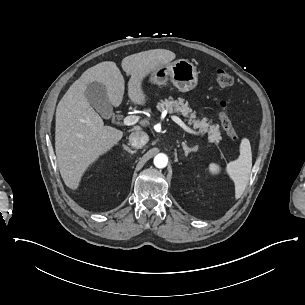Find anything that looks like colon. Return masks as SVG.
Listing matches in <instances>:
<instances>
[{
    "label": "colon",
    "instance_id": "1",
    "mask_svg": "<svg viewBox=\"0 0 305 305\" xmlns=\"http://www.w3.org/2000/svg\"><path fill=\"white\" fill-rule=\"evenodd\" d=\"M215 83L220 88H227L232 85V76L225 69H217L214 73ZM218 119L224 133L234 141H240L241 137L235 129L227 108L224 103L220 104Z\"/></svg>",
    "mask_w": 305,
    "mask_h": 305
}]
</instances>
